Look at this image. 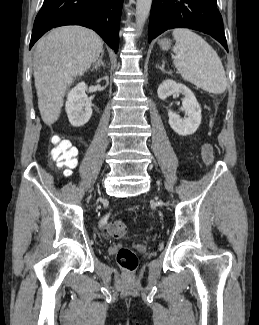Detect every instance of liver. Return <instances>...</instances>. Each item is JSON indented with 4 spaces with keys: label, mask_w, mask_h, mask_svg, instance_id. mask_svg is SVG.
<instances>
[{
    "label": "liver",
    "mask_w": 259,
    "mask_h": 325,
    "mask_svg": "<svg viewBox=\"0 0 259 325\" xmlns=\"http://www.w3.org/2000/svg\"><path fill=\"white\" fill-rule=\"evenodd\" d=\"M102 51V39L78 25L53 29L39 40L33 71L38 108L45 124L58 120L68 87L96 62Z\"/></svg>",
    "instance_id": "obj_1"
}]
</instances>
